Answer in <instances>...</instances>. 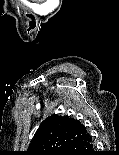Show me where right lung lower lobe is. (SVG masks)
I'll use <instances>...</instances> for the list:
<instances>
[{"mask_svg": "<svg viewBox=\"0 0 119 155\" xmlns=\"http://www.w3.org/2000/svg\"><path fill=\"white\" fill-rule=\"evenodd\" d=\"M61 155H94L93 142L89 133L72 143Z\"/></svg>", "mask_w": 119, "mask_h": 155, "instance_id": "right-lung-lower-lobe-1", "label": "right lung lower lobe"}]
</instances>
